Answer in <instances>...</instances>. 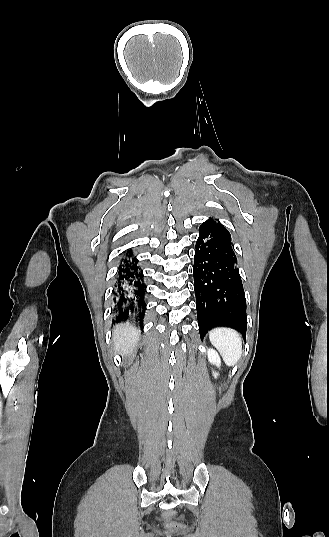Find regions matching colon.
I'll list each match as a JSON object with an SVG mask.
<instances>
[{"label": "colon", "mask_w": 329, "mask_h": 537, "mask_svg": "<svg viewBox=\"0 0 329 537\" xmlns=\"http://www.w3.org/2000/svg\"><path fill=\"white\" fill-rule=\"evenodd\" d=\"M173 516H174V513H173V511L170 510V509H167V510H165V511L163 512V517H164L165 519L169 520L168 523H167V526H168L169 528H171V529L177 528V526H178V524H177L176 522L170 520V519L173 518Z\"/></svg>", "instance_id": "obj_1"}]
</instances>
